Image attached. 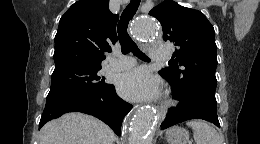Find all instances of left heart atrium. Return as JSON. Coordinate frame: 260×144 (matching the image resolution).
I'll return each instance as SVG.
<instances>
[{"label":"left heart atrium","instance_id":"left-heart-atrium-1","mask_svg":"<svg viewBox=\"0 0 260 144\" xmlns=\"http://www.w3.org/2000/svg\"><path fill=\"white\" fill-rule=\"evenodd\" d=\"M118 90L126 99L150 101L160 95V81L149 71L136 68L120 76Z\"/></svg>","mask_w":260,"mask_h":144}]
</instances>
